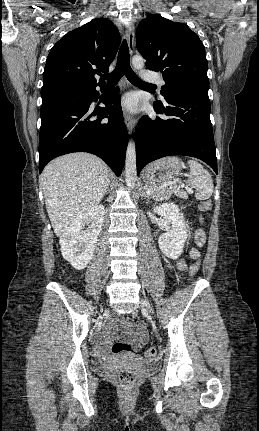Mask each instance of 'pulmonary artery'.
<instances>
[{"label": "pulmonary artery", "mask_w": 259, "mask_h": 431, "mask_svg": "<svg viewBox=\"0 0 259 431\" xmlns=\"http://www.w3.org/2000/svg\"><path fill=\"white\" fill-rule=\"evenodd\" d=\"M142 78L146 82H154V83L162 84L160 77L156 74L151 73V72L143 71L142 72Z\"/></svg>", "instance_id": "obj_1"}]
</instances>
